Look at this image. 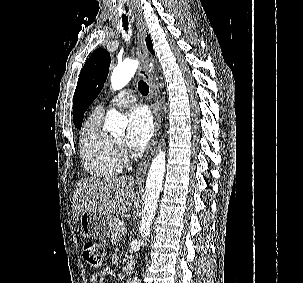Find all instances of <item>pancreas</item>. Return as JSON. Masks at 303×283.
<instances>
[{
	"label": "pancreas",
	"instance_id": "pancreas-1",
	"mask_svg": "<svg viewBox=\"0 0 303 283\" xmlns=\"http://www.w3.org/2000/svg\"><path fill=\"white\" fill-rule=\"evenodd\" d=\"M122 229H123V225L120 224V220L119 219H114L112 222V230H111V235H110V239L113 243L118 242L123 233H122Z\"/></svg>",
	"mask_w": 303,
	"mask_h": 283
}]
</instances>
